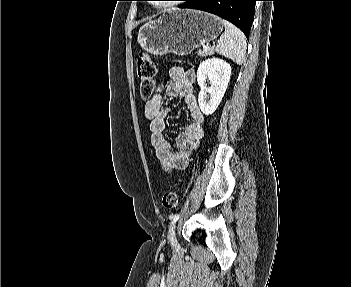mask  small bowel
I'll list each match as a JSON object with an SVG mask.
<instances>
[{
    "instance_id": "obj_1",
    "label": "small bowel",
    "mask_w": 351,
    "mask_h": 287,
    "mask_svg": "<svg viewBox=\"0 0 351 287\" xmlns=\"http://www.w3.org/2000/svg\"><path fill=\"white\" fill-rule=\"evenodd\" d=\"M169 77L170 82L159 85L157 93L146 102L144 113L149 121L152 146L162 167L165 170L184 169L203 135L204 114L194 94V72L175 66L170 68ZM162 93L168 97L182 98L192 119L173 145L164 134L169 109L163 104Z\"/></svg>"
}]
</instances>
